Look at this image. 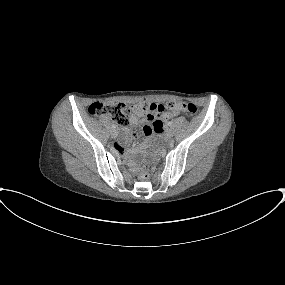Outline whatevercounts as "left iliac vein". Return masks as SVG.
Wrapping results in <instances>:
<instances>
[{
	"mask_svg": "<svg viewBox=\"0 0 285 285\" xmlns=\"http://www.w3.org/2000/svg\"><path fill=\"white\" fill-rule=\"evenodd\" d=\"M166 137L169 139H171L173 137V131L171 129H168L166 131Z\"/></svg>",
	"mask_w": 285,
	"mask_h": 285,
	"instance_id": "1",
	"label": "left iliac vein"
}]
</instances>
